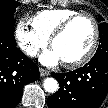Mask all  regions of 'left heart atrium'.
<instances>
[{
  "instance_id": "39dd6f15",
  "label": "left heart atrium",
  "mask_w": 108,
  "mask_h": 108,
  "mask_svg": "<svg viewBox=\"0 0 108 108\" xmlns=\"http://www.w3.org/2000/svg\"><path fill=\"white\" fill-rule=\"evenodd\" d=\"M40 60L43 64L47 66H54L61 62V58L59 54L54 49L45 52L41 56Z\"/></svg>"
}]
</instances>
